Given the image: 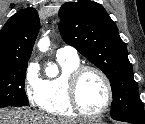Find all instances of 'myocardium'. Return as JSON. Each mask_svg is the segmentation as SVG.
Wrapping results in <instances>:
<instances>
[{
  "mask_svg": "<svg viewBox=\"0 0 145 124\" xmlns=\"http://www.w3.org/2000/svg\"><path fill=\"white\" fill-rule=\"evenodd\" d=\"M87 72H94L97 75H99V77L104 82L107 90V101L104 107L96 113L86 112L80 103L79 85L83 76ZM68 95H69V101L71 103V106L73 107L75 112L82 117L90 118V119L102 117L111 107L114 99L113 88L109 77L106 75V73L103 70L91 65H80L70 73L68 77Z\"/></svg>",
  "mask_w": 145,
  "mask_h": 124,
  "instance_id": "1",
  "label": "myocardium"
}]
</instances>
